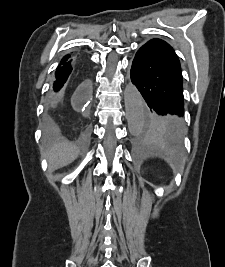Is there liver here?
Returning <instances> with one entry per match:
<instances>
[{
	"label": "liver",
	"instance_id": "1",
	"mask_svg": "<svg viewBox=\"0 0 225 267\" xmlns=\"http://www.w3.org/2000/svg\"><path fill=\"white\" fill-rule=\"evenodd\" d=\"M78 154L79 149L76 146L63 141L49 147L44 156L49 162V169L54 171L72 163Z\"/></svg>",
	"mask_w": 225,
	"mask_h": 267
}]
</instances>
